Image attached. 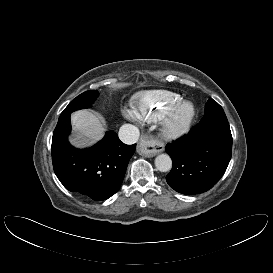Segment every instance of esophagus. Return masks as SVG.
Instances as JSON below:
<instances>
[{
    "instance_id": "34e87169",
    "label": "esophagus",
    "mask_w": 273,
    "mask_h": 273,
    "mask_svg": "<svg viewBox=\"0 0 273 273\" xmlns=\"http://www.w3.org/2000/svg\"><path fill=\"white\" fill-rule=\"evenodd\" d=\"M164 150V144L148 134H143L137 146V152L146 157H153Z\"/></svg>"
}]
</instances>
